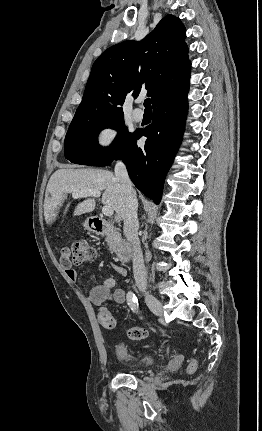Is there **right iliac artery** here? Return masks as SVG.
Instances as JSON below:
<instances>
[{"instance_id": "obj_1", "label": "right iliac artery", "mask_w": 262, "mask_h": 431, "mask_svg": "<svg viewBox=\"0 0 262 431\" xmlns=\"http://www.w3.org/2000/svg\"><path fill=\"white\" fill-rule=\"evenodd\" d=\"M127 303L133 312L138 311V299L133 292H128Z\"/></svg>"}]
</instances>
